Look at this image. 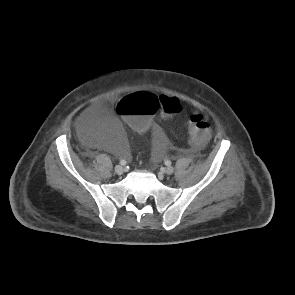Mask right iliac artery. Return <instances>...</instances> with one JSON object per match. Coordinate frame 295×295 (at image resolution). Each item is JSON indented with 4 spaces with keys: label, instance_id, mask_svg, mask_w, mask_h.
Instances as JSON below:
<instances>
[{
    "label": "right iliac artery",
    "instance_id": "82829eb1",
    "mask_svg": "<svg viewBox=\"0 0 295 295\" xmlns=\"http://www.w3.org/2000/svg\"><path fill=\"white\" fill-rule=\"evenodd\" d=\"M120 164H121V165H125V164H126V161H125V160H121V161H120Z\"/></svg>",
    "mask_w": 295,
    "mask_h": 295
}]
</instances>
